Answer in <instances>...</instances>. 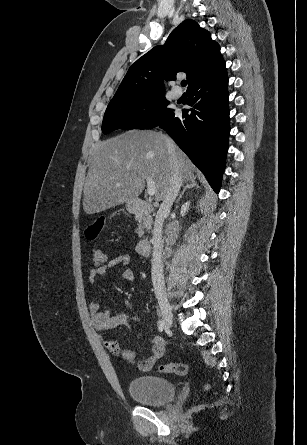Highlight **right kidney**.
Segmentation results:
<instances>
[{
  "mask_svg": "<svg viewBox=\"0 0 307 445\" xmlns=\"http://www.w3.org/2000/svg\"><path fill=\"white\" fill-rule=\"evenodd\" d=\"M189 204H190V200H187V202H184V204H182V206H181L182 216H184L185 212H187V210H189Z\"/></svg>",
  "mask_w": 307,
  "mask_h": 445,
  "instance_id": "ca27d5eb",
  "label": "right kidney"
}]
</instances>
